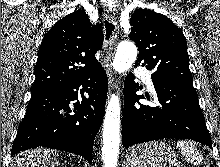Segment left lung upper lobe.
<instances>
[{
    "mask_svg": "<svg viewBox=\"0 0 220 167\" xmlns=\"http://www.w3.org/2000/svg\"><path fill=\"white\" fill-rule=\"evenodd\" d=\"M129 38L138 46L136 66L152 71V80L193 85L183 32L160 13L137 9L130 20Z\"/></svg>",
    "mask_w": 220,
    "mask_h": 167,
    "instance_id": "left-lung-upper-lobe-1",
    "label": "left lung upper lobe"
}]
</instances>
